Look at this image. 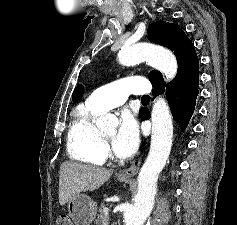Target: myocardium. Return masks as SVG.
I'll list each match as a JSON object with an SVG mask.
<instances>
[{
  "label": "myocardium",
  "instance_id": "myocardium-1",
  "mask_svg": "<svg viewBox=\"0 0 237 225\" xmlns=\"http://www.w3.org/2000/svg\"><path fill=\"white\" fill-rule=\"evenodd\" d=\"M102 139H103L104 143H105L106 146H107V144H108V140L105 138L104 135H102ZM108 154H109V149H108ZM110 155H111V154H110Z\"/></svg>",
  "mask_w": 237,
  "mask_h": 225
}]
</instances>
